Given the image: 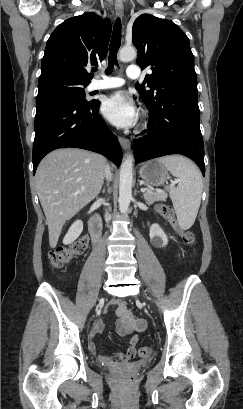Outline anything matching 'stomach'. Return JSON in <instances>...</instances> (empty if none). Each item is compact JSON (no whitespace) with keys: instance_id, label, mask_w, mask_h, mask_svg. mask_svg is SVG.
Masks as SVG:
<instances>
[{"instance_id":"0dacf381","label":"stomach","mask_w":243,"mask_h":409,"mask_svg":"<svg viewBox=\"0 0 243 409\" xmlns=\"http://www.w3.org/2000/svg\"><path fill=\"white\" fill-rule=\"evenodd\" d=\"M139 175L151 186H161L168 179V169L158 159L146 162L139 170Z\"/></svg>"}]
</instances>
